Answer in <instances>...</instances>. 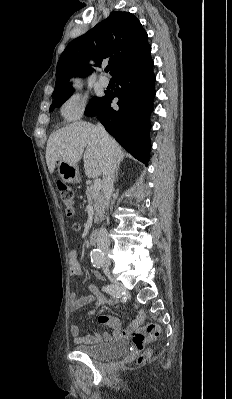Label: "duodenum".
I'll return each instance as SVG.
<instances>
[{
	"instance_id": "410a0bca",
	"label": "duodenum",
	"mask_w": 232,
	"mask_h": 399,
	"mask_svg": "<svg viewBox=\"0 0 232 399\" xmlns=\"http://www.w3.org/2000/svg\"><path fill=\"white\" fill-rule=\"evenodd\" d=\"M98 236H99V230H98V229L92 230V231L90 232V234H89V237H88L89 242H90L91 244H96L97 241H98Z\"/></svg>"
}]
</instances>
